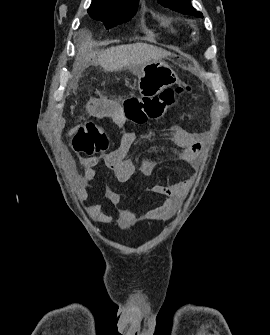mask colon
<instances>
[{
  "label": "colon",
  "mask_w": 270,
  "mask_h": 335,
  "mask_svg": "<svg viewBox=\"0 0 270 335\" xmlns=\"http://www.w3.org/2000/svg\"><path fill=\"white\" fill-rule=\"evenodd\" d=\"M190 91L191 87L185 85L166 89L154 97H128L122 104V115L126 123L134 126L157 121L178 98ZM109 145L110 139L99 130L97 124L91 121L83 124L72 139L74 152L86 157L106 152Z\"/></svg>",
  "instance_id": "colon-1"
}]
</instances>
